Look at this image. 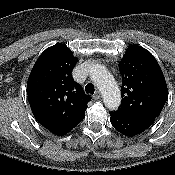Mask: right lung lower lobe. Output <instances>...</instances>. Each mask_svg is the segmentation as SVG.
Segmentation results:
<instances>
[{"label":"right lung lower lobe","mask_w":175,"mask_h":175,"mask_svg":"<svg viewBox=\"0 0 175 175\" xmlns=\"http://www.w3.org/2000/svg\"><path fill=\"white\" fill-rule=\"evenodd\" d=\"M72 129H70V130H65V131H60V132H56V133H54V134H56V135H65L66 133H68V132H70Z\"/></svg>","instance_id":"right-lung-lower-lobe-1"}]
</instances>
